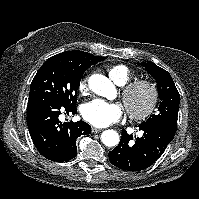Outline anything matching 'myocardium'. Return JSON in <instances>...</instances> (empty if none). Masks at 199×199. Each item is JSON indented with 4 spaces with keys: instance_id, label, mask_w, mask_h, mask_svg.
Instances as JSON below:
<instances>
[{
    "instance_id": "obj_1",
    "label": "myocardium",
    "mask_w": 199,
    "mask_h": 199,
    "mask_svg": "<svg viewBox=\"0 0 199 199\" xmlns=\"http://www.w3.org/2000/svg\"><path fill=\"white\" fill-rule=\"evenodd\" d=\"M141 91L147 95L146 102L140 109L133 108L132 99ZM122 100L131 119L144 120L153 114L159 100V90L157 85L149 79H136L124 85Z\"/></svg>"
}]
</instances>
